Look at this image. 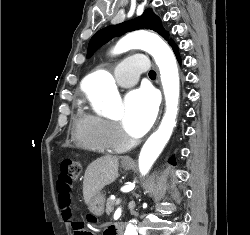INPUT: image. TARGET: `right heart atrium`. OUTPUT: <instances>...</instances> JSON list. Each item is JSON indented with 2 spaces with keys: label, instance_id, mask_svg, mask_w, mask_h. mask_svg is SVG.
<instances>
[{
  "label": "right heart atrium",
  "instance_id": "1",
  "mask_svg": "<svg viewBox=\"0 0 250 235\" xmlns=\"http://www.w3.org/2000/svg\"><path fill=\"white\" fill-rule=\"evenodd\" d=\"M106 135L108 140L116 146H124L128 140L124 133L121 131L119 126L112 122L106 123Z\"/></svg>",
  "mask_w": 250,
  "mask_h": 235
}]
</instances>
